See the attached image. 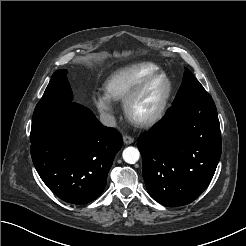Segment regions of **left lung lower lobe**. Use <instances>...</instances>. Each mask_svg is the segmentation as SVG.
Wrapping results in <instances>:
<instances>
[{
  "instance_id": "obj_1",
  "label": "left lung lower lobe",
  "mask_w": 246,
  "mask_h": 246,
  "mask_svg": "<svg viewBox=\"0 0 246 246\" xmlns=\"http://www.w3.org/2000/svg\"><path fill=\"white\" fill-rule=\"evenodd\" d=\"M149 195L182 206L207 188L221 156L220 124L209 94L173 105L137 142Z\"/></svg>"
}]
</instances>
